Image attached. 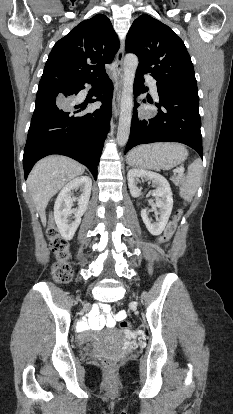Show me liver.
I'll use <instances>...</instances> for the list:
<instances>
[{"label":"liver","mask_w":233,"mask_h":414,"mask_svg":"<svg viewBox=\"0 0 233 414\" xmlns=\"http://www.w3.org/2000/svg\"><path fill=\"white\" fill-rule=\"evenodd\" d=\"M84 171L83 165L60 155L46 157L35 164L28 176L27 187L43 225L46 223L45 209L50 199Z\"/></svg>","instance_id":"liver-1"}]
</instances>
